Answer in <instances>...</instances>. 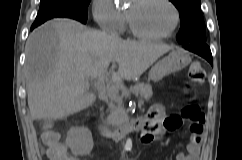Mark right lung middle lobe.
Here are the masks:
<instances>
[{
    "label": "right lung middle lobe",
    "instance_id": "obj_1",
    "mask_svg": "<svg viewBox=\"0 0 242 160\" xmlns=\"http://www.w3.org/2000/svg\"><path fill=\"white\" fill-rule=\"evenodd\" d=\"M91 0H41L40 9L32 27L51 18H72L82 23L87 21V8Z\"/></svg>",
    "mask_w": 242,
    "mask_h": 160
}]
</instances>
